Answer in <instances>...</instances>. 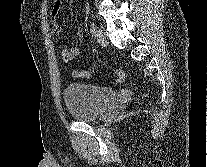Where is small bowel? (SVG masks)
<instances>
[{
	"instance_id": "obj_1",
	"label": "small bowel",
	"mask_w": 207,
	"mask_h": 167,
	"mask_svg": "<svg viewBox=\"0 0 207 167\" xmlns=\"http://www.w3.org/2000/svg\"><path fill=\"white\" fill-rule=\"evenodd\" d=\"M61 2H62V0H54V6H53V10H52V15L54 17V20L52 22V26H53V29L56 34H61V32H62V26L59 23V21L56 19L57 15L60 11V8H61ZM77 37L79 39H81L83 37L82 31H79L77 33ZM80 54H81V50L79 48L72 47L69 49H63L61 52V57L64 62L68 63V62L78 58L80 56Z\"/></svg>"
}]
</instances>
